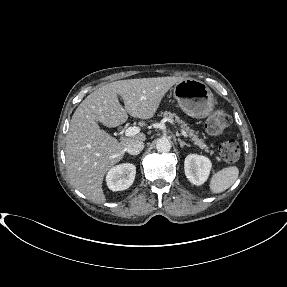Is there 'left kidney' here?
Wrapping results in <instances>:
<instances>
[{"label": "left kidney", "mask_w": 287, "mask_h": 287, "mask_svg": "<svg viewBox=\"0 0 287 287\" xmlns=\"http://www.w3.org/2000/svg\"><path fill=\"white\" fill-rule=\"evenodd\" d=\"M211 168V161L202 155L189 154L184 161L185 175L194 185H202L208 179Z\"/></svg>", "instance_id": "5707ae66"}]
</instances>
